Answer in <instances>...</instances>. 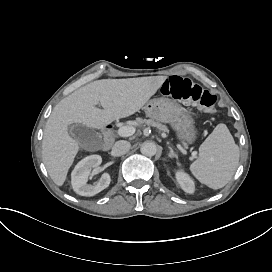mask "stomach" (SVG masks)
<instances>
[{"label":"stomach","instance_id":"1","mask_svg":"<svg viewBox=\"0 0 272 272\" xmlns=\"http://www.w3.org/2000/svg\"><path fill=\"white\" fill-rule=\"evenodd\" d=\"M145 113L151 119L163 123H170L177 131L178 138L192 143L196 138L194 120L191 113L169 98H154L143 107Z\"/></svg>","mask_w":272,"mask_h":272}]
</instances>
